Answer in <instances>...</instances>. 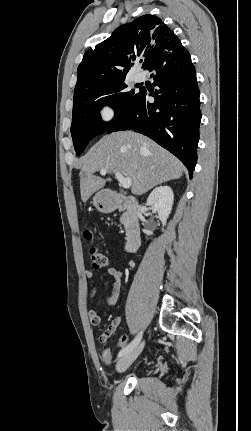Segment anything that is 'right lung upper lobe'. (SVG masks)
<instances>
[{
	"label": "right lung upper lobe",
	"mask_w": 251,
	"mask_h": 431,
	"mask_svg": "<svg viewBox=\"0 0 251 431\" xmlns=\"http://www.w3.org/2000/svg\"><path fill=\"white\" fill-rule=\"evenodd\" d=\"M180 45L177 36L157 16L138 17L118 27L108 39L84 54L77 69L74 96L125 78L139 57L147 69L164 52Z\"/></svg>",
	"instance_id": "cb5924a9"
}]
</instances>
